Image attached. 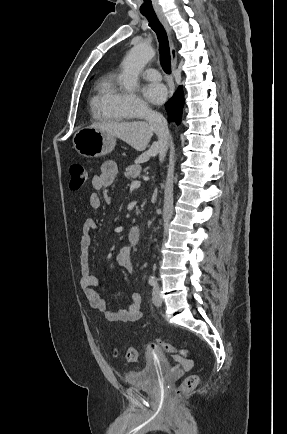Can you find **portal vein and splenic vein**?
Masks as SVG:
<instances>
[{
	"mask_svg": "<svg viewBox=\"0 0 287 434\" xmlns=\"http://www.w3.org/2000/svg\"><path fill=\"white\" fill-rule=\"evenodd\" d=\"M140 185H141L140 181H133L131 183V188H138V187H140Z\"/></svg>",
	"mask_w": 287,
	"mask_h": 434,
	"instance_id": "18ae733b",
	"label": "portal vein and splenic vein"
}]
</instances>
